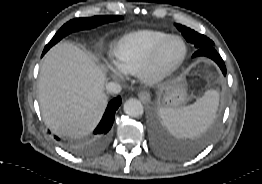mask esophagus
I'll return each mask as SVG.
<instances>
[{
    "instance_id": "1",
    "label": "esophagus",
    "mask_w": 262,
    "mask_h": 184,
    "mask_svg": "<svg viewBox=\"0 0 262 184\" xmlns=\"http://www.w3.org/2000/svg\"><path fill=\"white\" fill-rule=\"evenodd\" d=\"M138 97L144 104H148L151 101V95L147 91L139 92Z\"/></svg>"
}]
</instances>
